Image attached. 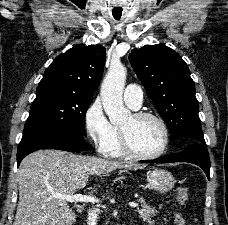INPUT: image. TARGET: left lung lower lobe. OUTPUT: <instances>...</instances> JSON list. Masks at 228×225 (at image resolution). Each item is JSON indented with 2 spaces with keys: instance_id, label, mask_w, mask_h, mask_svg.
I'll list each match as a JSON object with an SVG mask.
<instances>
[{
  "instance_id": "0a47b994",
  "label": "left lung lower lobe",
  "mask_w": 228,
  "mask_h": 225,
  "mask_svg": "<svg viewBox=\"0 0 228 225\" xmlns=\"http://www.w3.org/2000/svg\"><path fill=\"white\" fill-rule=\"evenodd\" d=\"M145 163H173L189 162L200 166L208 179H210V159L204 143L193 142L188 147L178 153L167 155L161 159L142 161Z\"/></svg>"
}]
</instances>
